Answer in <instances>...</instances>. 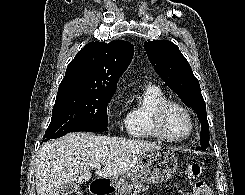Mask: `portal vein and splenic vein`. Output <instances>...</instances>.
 Listing matches in <instances>:
<instances>
[{
  "mask_svg": "<svg viewBox=\"0 0 245 195\" xmlns=\"http://www.w3.org/2000/svg\"><path fill=\"white\" fill-rule=\"evenodd\" d=\"M94 167L97 168V169H100L101 168V165L98 164V165H95Z\"/></svg>",
  "mask_w": 245,
  "mask_h": 195,
  "instance_id": "1",
  "label": "portal vein and splenic vein"
}]
</instances>
